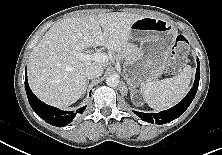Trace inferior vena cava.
Here are the masks:
<instances>
[{
	"label": "inferior vena cava",
	"mask_w": 222,
	"mask_h": 155,
	"mask_svg": "<svg viewBox=\"0 0 222 155\" xmlns=\"http://www.w3.org/2000/svg\"><path fill=\"white\" fill-rule=\"evenodd\" d=\"M85 74L88 79L98 78L103 74V67L92 63L86 68Z\"/></svg>",
	"instance_id": "1"
}]
</instances>
